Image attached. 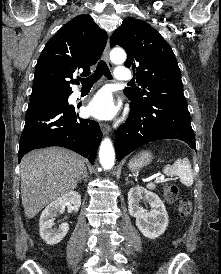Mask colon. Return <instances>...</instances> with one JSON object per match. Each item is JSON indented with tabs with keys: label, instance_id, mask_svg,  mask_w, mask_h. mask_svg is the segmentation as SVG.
Returning a JSON list of instances; mask_svg holds the SVG:
<instances>
[{
	"label": "colon",
	"instance_id": "1",
	"mask_svg": "<svg viewBox=\"0 0 221 274\" xmlns=\"http://www.w3.org/2000/svg\"><path fill=\"white\" fill-rule=\"evenodd\" d=\"M163 197L168 203L175 205L177 213L181 217H186L191 213L192 206L190 200L179 197V189L175 184L164 186Z\"/></svg>",
	"mask_w": 221,
	"mask_h": 274
}]
</instances>
